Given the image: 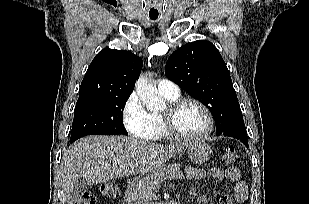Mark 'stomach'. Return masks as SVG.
Returning a JSON list of instances; mask_svg holds the SVG:
<instances>
[{
	"label": "stomach",
	"mask_w": 309,
	"mask_h": 204,
	"mask_svg": "<svg viewBox=\"0 0 309 204\" xmlns=\"http://www.w3.org/2000/svg\"><path fill=\"white\" fill-rule=\"evenodd\" d=\"M188 157L194 164H203L211 156L212 150L204 141L198 140L188 146Z\"/></svg>",
	"instance_id": "1"
}]
</instances>
